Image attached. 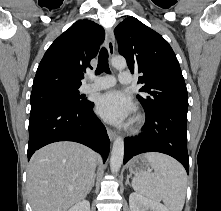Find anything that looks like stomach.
Wrapping results in <instances>:
<instances>
[{
  "label": "stomach",
  "mask_w": 221,
  "mask_h": 211,
  "mask_svg": "<svg viewBox=\"0 0 221 211\" xmlns=\"http://www.w3.org/2000/svg\"><path fill=\"white\" fill-rule=\"evenodd\" d=\"M149 167L150 164L144 156H137L129 163V171L135 175L138 173L146 172Z\"/></svg>",
  "instance_id": "0dacf381"
}]
</instances>
